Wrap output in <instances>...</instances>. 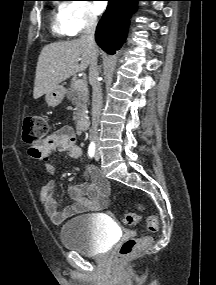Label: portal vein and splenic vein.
<instances>
[{
  "label": "portal vein and splenic vein",
  "mask_w": 216,
  "mask_h": 285,
  "mask_svg": "<svg viewBox=\"0 0 216 285\" xmlns=\"http://www.w3.org/2000/svg\"><path fill=\"white\" fill-rule=\"evenodd\" d=\"M83 83H84V80L79 79V80H77V81L75 82V86H76V87H80V86L83 85Z\"/></svg>",
  "instance_id": "18ae733b"
}]
</instances>
